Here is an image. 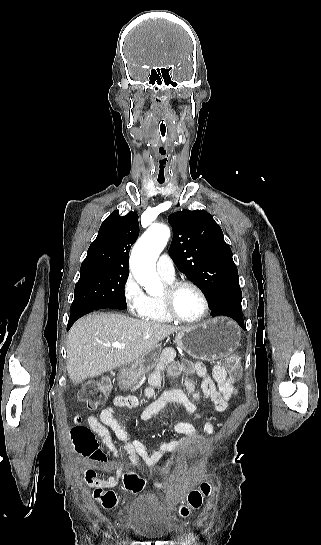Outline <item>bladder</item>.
I'll return each instance as SVG.
<instances>
[{
	"label": "bladder",
	"instance_id": "bladder-1",
	"mask_svg": "<svg viewBox=\"0 0 321 545\" xmlns=\"http://www.w3.org/2000/svg\"><path fill=\"white\" fill-rule=\"evenodd\" d=\"M125 525L137 537L157 541L172 532L170 515L163 501L153 493L134 498L125 512Z\"/></svg>",
	"mask_w": 321,
	"mask_h": 545
}]
</instances>
